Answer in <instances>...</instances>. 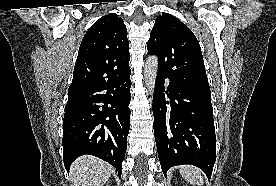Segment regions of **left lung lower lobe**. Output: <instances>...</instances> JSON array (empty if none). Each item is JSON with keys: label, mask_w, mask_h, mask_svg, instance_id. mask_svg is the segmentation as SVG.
I'll return each mask as SVG.
<instances>
[{"label": "left lung lower lobe", "mask_w": 276, "mask_h": 186, "mask_svg": "<svg viewBox=\"0 0 276 186\" xmlns=\"http://www.w3.org/2000/svg\"><path fill=\"white\" fill-rule=\"evenodd\" d=\"M157 74L153 96L154 133L163 173L173 166L191 164L210 179L216 160V136L210 91H197L169 82L165 90ZM171 101H166V98Z\"/></svg>", "instance_id": "left-lung-lower-lobe-1"}]
</instances>
